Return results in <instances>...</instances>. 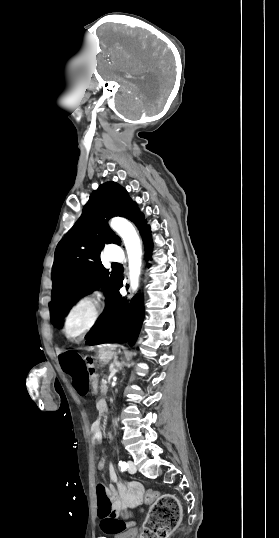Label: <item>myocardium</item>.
<instances>
[{
  "label": "myocardium",
  "mask_w": 279,
  "mask_h": 538,
  "mask_svg": "<svg viewBox=\"0 0 279 538\" xmlns=\"http://www.w3.org/2000/svg\"><path fill=\"white\" fill-rule=\"evenodd\" d=\"M89 310V318L85 325L77 332L71 331L74 316L81 309ZM102 305L100 298L95 295H84L77 299L66 312L62 322V334L70 342H76L84 338L97 325L101 317Z\"/></svg>",
  "instance_id": "1"
}]
</instances>
